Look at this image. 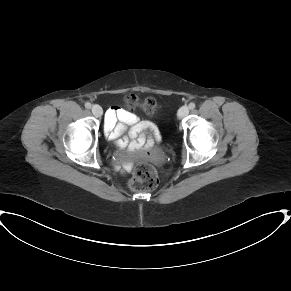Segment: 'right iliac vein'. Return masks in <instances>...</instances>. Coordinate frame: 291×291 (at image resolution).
Returning <instances> with one entry per match:
<instances>
[{
  "label": "right iliac vein",
  "mask_w": 291,
  "mask_h": 291,
  "mask_svg": "<svg viewBox=\"0 0 291 291\" xmlns=\"http://www.w3.org/2000/svg\"><path fill=\"white\" fill-rule=\"evenodd\" d=\"M91 110H92L93 115L96 117H101L103 114V109L99 105H93Z\"/></svg>",
  "instance_id": "63e3f726"
}]
</instances>
